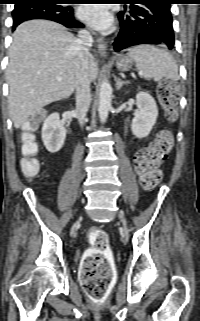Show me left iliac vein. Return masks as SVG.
I'll use <instances>...</instances> for the list:
<instances>
[{"label":"left iliac vein","mask_w":200,"mask_h":321,"mask_svg":"<svg viewBox=\"0 0 200 321\" xmlns=\"http://www.w3.org/2000/svg\"><path fill=\"white\" fill-rule=\"evenodd\" d=\"M119 219L122 222V224L125 226L126 225V219L125 216L122 212L119 213Z\"/></svg>","instance_id":"1"}]
</instances>
